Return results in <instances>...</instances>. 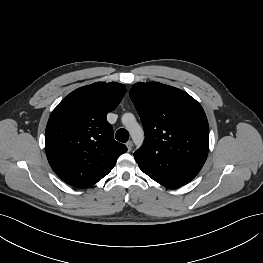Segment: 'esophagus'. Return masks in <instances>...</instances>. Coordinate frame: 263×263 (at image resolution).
<instances>
[{
    "label": "esophagus",
    "instance_id": "1",
    "mask_svg": "<svg viewBox=\"0 0 263 263\" xmlns=\"http://www.w3.org/2000/svg\"><path fill=\"white\" fill-rule=\"evenodd\" d=\"M126 146H127L128 152H130L131 149H132V146H133L132 141H128V142L126 143Z\"/></svg>",
    "mask_w": 263,
    "mask_h": 263
}]
</instances>
